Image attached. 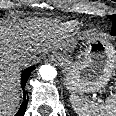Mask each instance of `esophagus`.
Listing matches in <instances>:
<instances>
[{
  "label": "esophagus",
  "instance_id": "1",
  "mask_svg": "<svg viewBox=\"0 0 116 116\" xmlns=\"http://www.w3.org/2000/svg\"><path fill=\"white\" fill-rule=\"evenodd\" d=\"M56 60V57L53 56V55H50L47 57L46 61H49V62H52V61H55Z\"/></svg>",
  "mask_w": 116,
  "mask_h": 116
}]
</instances>
